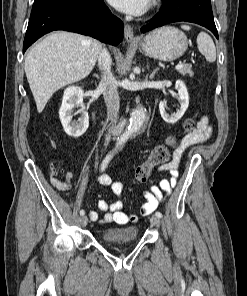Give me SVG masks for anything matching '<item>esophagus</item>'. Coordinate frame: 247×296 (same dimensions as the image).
<instances>
[{
	"mask_svg": "<svg viewBox=\"0 0 247 296\" xmlns=\"http://www.w3.org/2000/svg\"><path fill=\"white\" fill-rule=\"evenodd\" d=\"M124 37L128 43H136L138 41L134 36L133 28L129 24L124 26Z\"/></svg>",
	"mask_w": 247,
	"mask_h": 296,
	"instance_id": "1",
	"label": "esophagus"
}]
</instances>
